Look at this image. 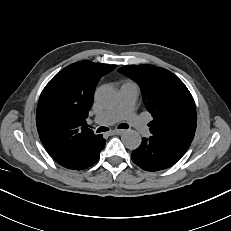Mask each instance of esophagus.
<instances>
[{
  "label": "esophagus",
  "mask_w": 231,
  "mask_h": 231,
  "mask_svg": "<svg viewBox=\"0 0 231 231\" xmlns=\"http://www.w3.org/2000/svg\"><path fill=\"white\" fill-rule=\"evenodd\" d=\"M122 133H124V130L122 129H115L110 132V134H122Z\"/></svg>",
  "instance_id": "1"
}]
</instances>
